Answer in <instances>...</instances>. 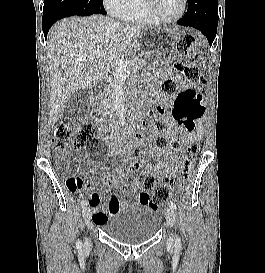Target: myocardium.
I'll return each mask as SVG.
<instances>
[{
	"mask_svg": "<svg viewBox=\"0 0 265 273\" xmlns=\"http://www.w3.org/2000/svg\"><path fill=\"white\" fill-rule=\"evenodd\" d=\"M145 1H146V8L149 14L151 15L152 19L158 24L175 23L179 21L180 19H182L187 12L188 2L187 0H182V10L178 16L171 19L163 18L157 13L156 0H145Z\"/></svg>",
	"mask_w": 265,
	"mask_h": 273,
	"instance_id": "1",
	"label": "myocardium"
}]
</instances>
